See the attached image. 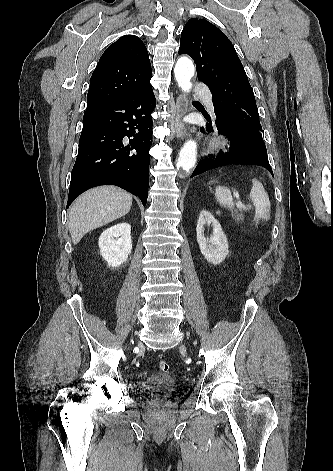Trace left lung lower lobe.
Instances as JSON below:
<instances>
[{
	"label": "left lung lower lobe",
	"mask_w": 333,
	"mask_h": 471,
	"mask_svg": "<svg viewBox=\"0 0 333 471\" xmlns=\"http://www.w3.org/2000/svg\"><path fill=\"white\" fill-rule=\"evenodd\" d=\"M204 116L208 121L205 128L206 131L213 132L214 127L219 135L226 137L230 141L229 152L221 153L216 158L200 160L191 177L207 170L230 164L260 165L273 175L264 141L247 136L239 131L231 130L221 119L215 118L212 121L207 113ZM201 131H204V127H201Z\"/></svg>",
	"instance_id": "left-lung-lower-lobe-1"
}]
</instances>
